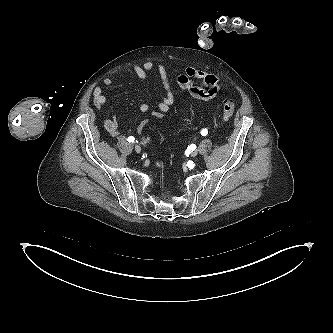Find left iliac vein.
Masks as SVG:
<instances>
[{
  "label": "left iliac vein",
  "instance_id": "left-iliac-vein-1",
  "mask_svg": "<svg viewBox=\"0 0 333 333\" xmlns=\"http://www.w3.org/2000/svg\"><path fill=\"white\" fill-rule=\"evenodd\" d=\"M197 154H198V150H193L192 152H191V157H195V156H197Z\"/></svg>",
  "mask_w": 333,
  "mask_h": 333
}]
</instances>
